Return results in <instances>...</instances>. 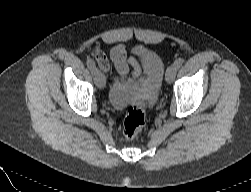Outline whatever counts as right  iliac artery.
Here are the masks:
<instances>
[{"instance_id":"1","label":"right iliac artery","mask_w":251,"mask_h":192,"mask_svg":"<svg viewBox=\"0 0 251 192\" xmlns=\"http://www.w3.org/2000/svg\"><path fill=\"white\" fill-rule=\"evenodd\" d=\"M87 66L90 69V71L93 73L96 69L95 62L92 59L87 60Z\"/></svg>"}]
</instances>
